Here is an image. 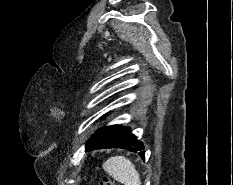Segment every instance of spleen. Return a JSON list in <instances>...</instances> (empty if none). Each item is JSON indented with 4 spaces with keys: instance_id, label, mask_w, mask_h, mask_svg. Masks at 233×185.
Wrapping results in <instances>:
<instances>
[{
    "instance_id": "3e777b00",
    "label": "spleen",
    "mask_w": 233,
    "mask_h": 185,
    "mask_svg": "<svg viewBox=\"0 0 233 185\" xmlns=\"http://www.w3.org/2000/svg\"><path fill=\"white\" fill-rule=\"evenodd\" d=\"M103 169L116 181L124 185H140V176L134 164L124 156H113L106 160Z\"/></svg>"
}]
</instances>
